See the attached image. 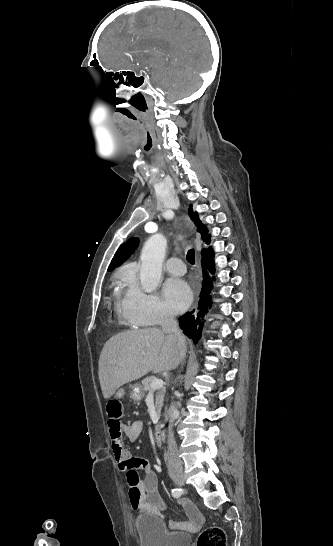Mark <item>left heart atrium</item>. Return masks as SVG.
Masks as SVG:
<instances>
[{"instance_id":"39dd6f15","label":"left heart atrium","mask_w":333,"mask_h":546,"mask_svg":"<svg viewBox=\"0 0 333 546\" xmlns=\"http://www.w3.org/2000/svg\"><path fill=\"white\" fill-rule=\"evenodd\" d=\"M163 293L167 305L173 312L185 310L192 300V292L188 284L178 278L167 280Z\"/></svg>"}]
</instances>
